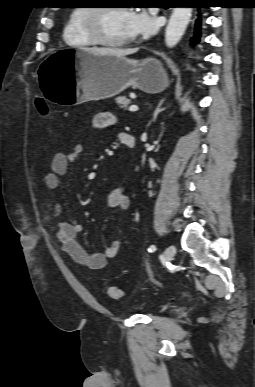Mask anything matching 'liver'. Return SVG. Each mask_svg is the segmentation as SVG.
<instances>
[{"label": "liver", "instance_id": "liver-1", "mask_svg": "<svg viewBox=\"0 0 255 387\" xmlns=\"http://www.w3.org/2000/svg\"><path fill=\"white\" fill-rule=\"evenodd\" d=\"M83 50L96 55H108L115 57H125L137 52V49H114V48H84Z\"/></svg>", "mask_w": 255, "mask_h": 387}]
</instances>
